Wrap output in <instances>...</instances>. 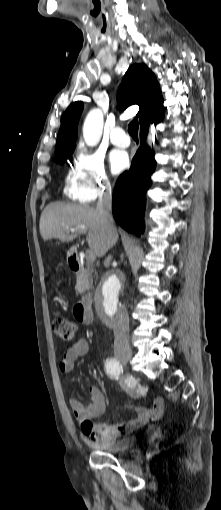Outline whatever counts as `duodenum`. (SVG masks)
<instances>
[{"label": "duodenum", "instance_id": "duodenum-1", "mask_svg": "<svg viewBox=\"0 0 221 510\" xmlns=\"http://www.w3.org/2000/svg\"><path fill=\"white\" fill-rule=\"evenodd\" d=\"M70 255V268L73 272L79 273L84 276H88L89 271L83 266L78 252L75 248L71 249ZM91 297L90 294H86L85 297L80 300L75 306V315L85 324H90L94 320L93 313L90 308Z\"/></svg>", "mask_w": 221, "mask_h": 510}]
</instances>
